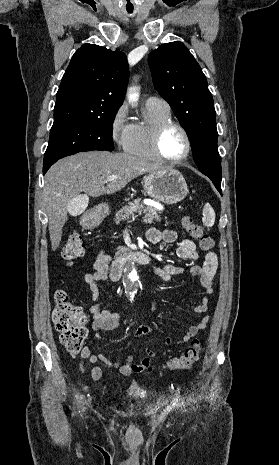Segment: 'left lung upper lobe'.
Here are the masks:
<instances>
[{"label": "left lung upper lobe", "instance_id": "1", "mask_svg": "<svg viewBox=\"0 0 279 465\" xmlns=\"http://www.w3.org/2000/svg\"><path fill=\"white\" fill-rule=\"evenodd\" d=\"M149 64L155 89L188 134L198 168L221 189L215 108L202 69L179 41L152 51Z\"/></svg>", "mask_w": 279, "mask_h": 465}]
</instances>
